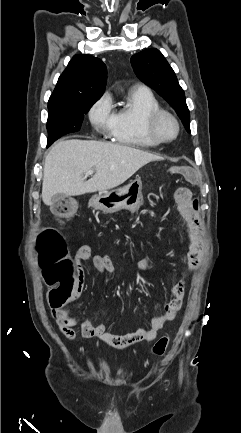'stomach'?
Here are the masks:
<instances>
[{"mask_svg": "<svg viewBox=\"0 0 241 433\" xmlns=\"http://www.w3.org/2000/svg\"><path fill=\"white\" fill-rule=\"evenodd\" d=\"M143 203L142 181L136 179L127 186L101 191L90 199V206L107 213L122 209L134 211Z\"/></svg>", "mask_w": 241, "mask_h": 433, "instance_id": "1", "label": "stomach"}]
</instances>
